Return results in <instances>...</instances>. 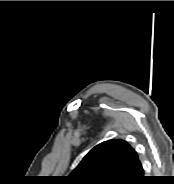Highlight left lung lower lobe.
Listing matches in <instances>:
<instances>
[{"mask_svg":"<svg viewBox=\"0 0 174 184\" xmlns=\"http://www.w3.org/2000/svg\"><path fill=\"white\" fill-rule=\"evenodd\" d=\"M144 179L145 177L143 176V168L141 163L138 160L134 170L133 177L128 184H141L144 181Z\"/></svg>","mask_w":174,"mask_h":184,"instance_id":"left-lung-lower-lobe-1","label":"left lung lower lobe"}]
</instances>
